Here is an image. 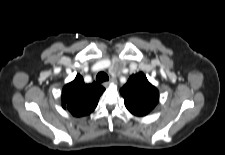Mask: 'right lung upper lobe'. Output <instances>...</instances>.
<instances>
[{
	"mask_svg": "<svg viewBox=\"0 0 225 155\" xmlns=\"http://www.w3.org/2000/svg\"><path fill=\"white\" fill-rule=\"evenodd\" d=\"M105 89L95 82L85 84L83 77L77 74L62 91V107L75 117L87 116L94 111Z\"/></svg>",
	"mask_w": 225,
	"mask_h": 155,
	"instance_id": "cb5924a9",
	"label": "right lung upper lobe"
}]
</instances>
